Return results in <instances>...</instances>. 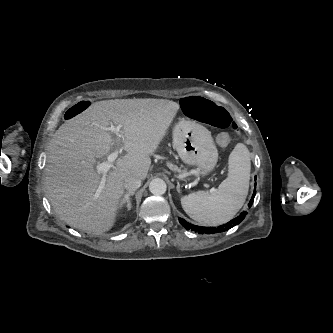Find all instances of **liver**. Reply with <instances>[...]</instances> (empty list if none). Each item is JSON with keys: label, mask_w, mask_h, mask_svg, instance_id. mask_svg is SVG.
Listing matches in <instances>:
<instances>
[{"label": "liver", "mask_w": 333, "mask_h": 333, "mask_svg": "<svg viewBox=\"0 0 333 333\" xmlns=\"http://www.w3.org/2000/svg\"><path fill=\"white\" fill-rule=\"evenodd\" d=\"M179 109L164 99H115L91 104L65 121L49 143L45 184L48 200L57 215L73 228L88 233L110 230L115 221L124 181L144 180L155 152ZM121 125L124 156L117 159L98 192L102 173L94 169L97 159L114 148L108 130Z\"/></svg>", "instance_id": "liver-1"}]
</instances>
